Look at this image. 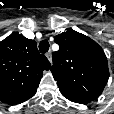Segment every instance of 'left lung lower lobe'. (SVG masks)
<instances>
[{
  "label": "left lung lower lobe",
  "mask_w": 114,
  "mask_h": 114,
  "mask_svg": "<svg viewBox=\"0 0 114 114\" xmlns=\"http://www.w3.org/2000/svg\"><path fill=\"white\" fill-rule=\"evenodd\" d=\"M63 96H65L67 99H69L72 102L81 103V104H86L91 101L86 98L74 97V96H70V95H63Z\"/></svg>",
  "instance_id": "left-lung-lower-lobe-1"
}]
</instances>
